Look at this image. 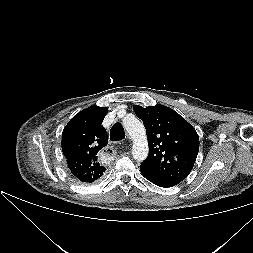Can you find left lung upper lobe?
<instances>
[{
  "instance_id": "5c2ea615",
  "label": "left lung upper lobe",
  "mask_w": 253,
  "mask_h": 253,
  "mask_svg": "<svg viewBox=\"0 0 253 253\" xmlns=\"http://www.w3.org/2000/svg\"><path fill=\"white\" fill-rule=\"evenodd\" d=\"M146 128L149 155L141 163L143 175L176 185L192 170L199 151L195 129L177 112L164 105L133 106Z\"/></svg>"
}]
</instances>
